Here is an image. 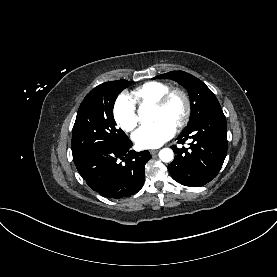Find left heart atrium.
<instances>
[{"label": "left heart atrium", "instance_id": "obj_1", "mask_svg": "<svg viewBox=\"0 0 277 277\" xmlns=\"http://www.w3.org/2000/svg\"><path fill=\"white\" fill-rule=\"evenodd\" d=\"M176 133V124L166 119L138 128L132 135L135 144L142 149H153L163 145Z\"/></svg>", "mask_w": 277, "mask_h": 277}]
</instances>
